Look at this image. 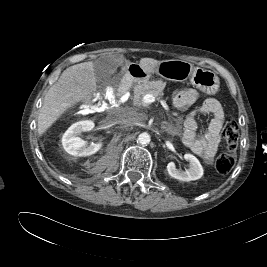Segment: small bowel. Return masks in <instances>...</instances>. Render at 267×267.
Returning <instances> with one entry per match:
<instances>
[{
  "label": "small bowel",
  "instance_id": "small-bowel-1",
  "mask_svg": "<svg viewBox=\"0 0 267 267\" xmlns=\"http://www.w3.org/2000/svg\"><path fill=\"white\" fill-rule=\"evenodd\" d=\"M198 99V92L194 89L180 91L173 98V107L185 109ZM210 115L211 120L204 136H197V117ZM224 122V112L220 102L215 98H208L203 105L191 112L184 121L183 144L192 152L211 162L217 153L220 143V132Z\"/></svg>",
  "mask_w": 267,
  "mask_h": 267
}]
</instances>
